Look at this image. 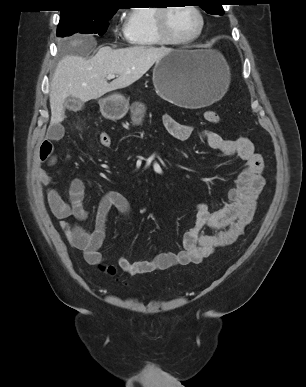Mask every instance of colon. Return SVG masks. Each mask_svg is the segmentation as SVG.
Masks as SVG:
<instances>
[{"label": "colon", "mask_w": 306, "mask_h": 387, "mask_svg": "<svg viewBox=\"0 0 306 387\" xmlns=\"http://www.w3.org/2000/svg\"><path fill=\"white\" fill-rule=\"evenodd\" d=\"M204 117H205V119L208 122L213 123V124H217V123L220 122L219 114L217 112L213 111V110L206 111L204 113ZM98 142H99V144L102 147H109L112 144L111 137L109 136V134H107L105 132H102V133L99 134ZM100 268L104 272H106V273H108L110 275L115 274V268L113 266H110V265H100Z\"/></svg>", "instance_id": "colon-1"}]
</instances>
